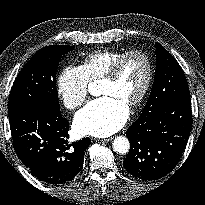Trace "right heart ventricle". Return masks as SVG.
<instances>
[{
	"label": "right heart ventricle",
	"mask_w": 205,
	"mask_h": 205,
	"mask_svg": "<svg viewBox=\"0 0 205 205\" xmlns=\"http://www.w3.org/2000/svg\"><path fill=\"white\" fill-rule=\"evenodd\" d=\"M125 52L102 50L89 53L80 66L89 82L101 79L113 63Z\"/></svg>",
	"instance_id": "1"
}]
</instances>
